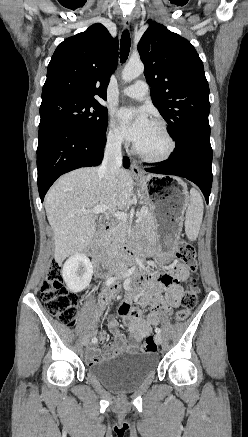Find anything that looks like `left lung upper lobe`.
Returning a JSON list of instances; mask_svg holds the SVG:
<instances>
[{
  "label": "left lung upper lobe",
  "instance_id": "obj_1",
  "mask_svg": "<svg viewBox=\"0 0 248 437\" xmlns=\"http://www.w3.org/2000/svg\"><path fill=\"white\" fill-rule=\"evenodd\" d=\"M150 26L138 43L154 106L178 142L190 129L209 125V85L193 45L165 26Z\"/></svg>",
  "mask_w": 248,
  "mask_h": 437
}]
</instances>
